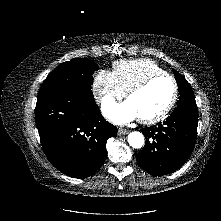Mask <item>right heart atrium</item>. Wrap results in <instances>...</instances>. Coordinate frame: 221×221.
Masks as SVG:
<instances>
[{
    "label": "right heart atrium",
    "mask_w": 221,
    "mask_h": 221,
    "mask_svg": "<svg viewBox=\"0 0 221 221\" xmlns=\"http://www.w3.org/2000/svg\"><path fill=\"white\" fill-rule=\"evenodd\" d=\"M93 93L96 101L101 104L120 99L125 94L113 72L106 70L96 73L93 80Z\"/></svg>",
    "instance_id": "obj_1"
}]
</instances>
